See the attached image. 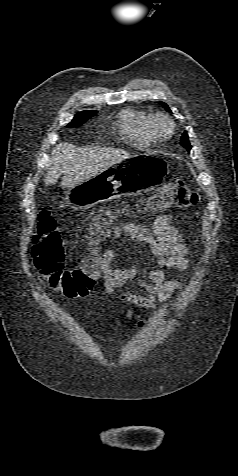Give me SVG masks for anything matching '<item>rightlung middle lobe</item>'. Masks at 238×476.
Segmentation results:
<instances>
[{
    "instance_id": "obj_1",
    "label": "right lung middle lobe",
    "mask_w": 238,
    "mask_h": 476,
    "mask_svg": "<svg viewBox=\"0 0 238 476\" xmlns=\"http://www.w3.org/2000/svg\"><path fill=\"white\" fill-rule=\"evenodd\" d=\"M97 113V111H82L75 115L74 119L72 120L71 123L67 125V127H75L78 125H81L85 123L89 118L94 116Z\"/></svg>"
}]
</instances>
